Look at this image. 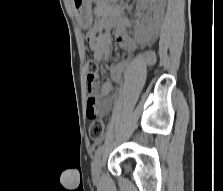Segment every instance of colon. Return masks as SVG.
<instances>
[{
    "label": "colon",
    "mask_w": 223,
    "mask_h": 191,
    "mask_svg": "<svg viewBox=\"0 0 223 191\" xmlns=\"http://www.w3.org/2000/svg\"><path fill=\"white\" fill-rule=\"evenodd\" d=\"M88 79L90 82H96L99 75V65L96 60H88L86 63ZM105 134V123L103 120L95 119L89 130V135L92 141L99 142Z\"/></svg>",
    "instance_id": "colon-1"
}]
</instances>
